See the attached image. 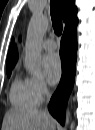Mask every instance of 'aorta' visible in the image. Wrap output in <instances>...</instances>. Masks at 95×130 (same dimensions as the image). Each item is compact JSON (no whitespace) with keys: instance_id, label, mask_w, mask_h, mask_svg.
<instances>
[{"instance_id":"1","label":"aorta","mask_w":95,"mask_h":130,"mask_svg":"<svg viewBox=\"0 0 95 130\" xmlns=\"http://www.w3.org/2000/svg\"><path fill=\"white\" fill-rule=\"evenodd\" d=\"M48 20L43 15H34L27 29L25 43V63L33 76L41 74V40L47 30ZM70 121L69 108L66 110V125Z\"/></svg>"}]
</instances>
